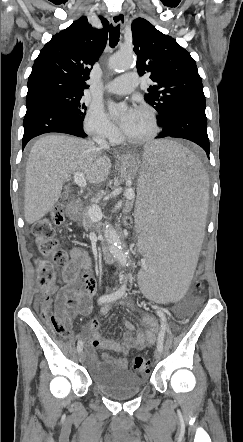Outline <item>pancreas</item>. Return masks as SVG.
Segmentation results:
<instances>
[{
    "mask_svg": "<svg viewBox=\"0 0 243 442\" xmlns=\"http://www.w3.org/2000/svg\"><path fill=\"white\" fill-rule=\"evenodd\" d=\"M89 209L90 207H85L82 212V223L84 228L86 229L95 228L97 226V224L89 217Z\"/></svg>",
    "mask_w": 243,
    "mask_h": 442,
    "instance_id": "1",
    "label": "pancreas"
}]
</instances>
